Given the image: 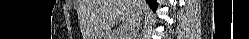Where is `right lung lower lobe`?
<instances>
[{"label":"right lung lower lobe","mask_w":249,"mask_h":39,"mask_svg":"<svg viewBox=\"0 0 249 39\" xmlns=\"http://www.w3.org/2000/svg\"><path fill=\"white\" fill-rule=\"evenodd\" d=\"M146 1L148 2L149 6L152 9L156 10V8H157V2H156V0H146Z\"/></svg>","instance_id":"1"}]
</instances>
